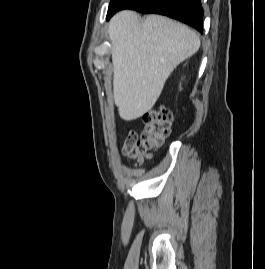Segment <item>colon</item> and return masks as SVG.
<instances>
[{
  "mask_svg": "<svg viewBox=\"0 0 265 269\" xmlns=\"http://www.w3.org/2000/svg\"><path fill=\"white\" fill-rule=\"evenodd\" d=\"M145 129L140 138L133 130L129 131L124 143V152L131 160L140 163L151 157L170 133L172 113L165 107H158L144 113Z\"/></svg>",
  "mask_w": 265,
  "mask_h": 269,
  "instance_id": "colon-1",
  "label": "colon"
}]
</instances>
